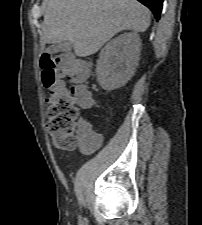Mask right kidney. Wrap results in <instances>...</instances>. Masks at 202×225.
Returning a JSON list of instances; mask_svg holds the SVG:
<instances>
[{"label": "right kidney", "instance_id": "1", "mask_svg": "<svg viewBox=\"0 0 202 225\" xmlns=\"http://www.w3.org/2000/svg\"><path fill=\"white\" fill-rule=\"evenodd\" d=\"M141 39L134 33H124L111 40L101 50L96 73L99 85L106 91L124 86L138 65Z\"/></svg>", "mask_w": 202, "mask_h": 225}]
</instances>
